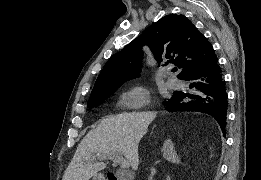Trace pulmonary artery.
<instances>
[{
	"mask_svg": "<svg viewBox=\"0 0 261 180\" xmlns=\"http://www.w3.org/2000/svg\"><path fill=\"white\" fill-rule=\"evenodd\" d=\"M180 84H181V83H180L179 80L173 79V78H171V79H169V80L167 81V85H168L170 88L179 87Z\"/></svg>",
	"mask_w": 261,
	"mask_h": 180,
	"instance_id": "obj_1",
	"label": "pulmonary artery"
}]
</instances>
